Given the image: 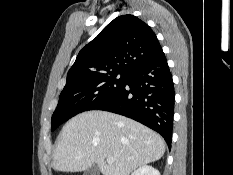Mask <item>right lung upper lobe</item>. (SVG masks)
I'll use <instances>...</instances> for the list:
<instances>
[{
    "instance_id": "1",
    "label": "right lung upper lobe",
    "mask_w": 233,
    "mask_h": 175,
    "mask_svg": "<svg viewBox=\"0 0 233 175\" xmlns=\"http://www.w3.org/2000/svg\"><path fill=\"white\" fill-rule=\"evenodd\" d=\"M162 53L155 33L145 22L133 15L119 16L79 52L67 82L109 72L129 74Z\"/></svg>"
}]
</instances>
